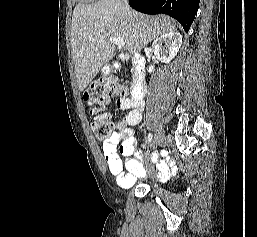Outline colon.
<instances>
[{
	"mask_svg": "<svg viewBox=\"0 0 257 237\" xmlns=\"http://www.w3.org/2000/svg\"><path fill=\"white\" fill-rule=\"evenodd\" d=\"M125 86L116 77H101L96 80L84 95L90 107L92 116L91 126L99 141L107 142L113 132L111 116L105 111V104L114 96L123 94Z\"/></svg>",
	"mask_w": 257,
	"mask_h": 237,
	"instance_id": "obj_1",
	"label": "colon"
}]
</instances>
